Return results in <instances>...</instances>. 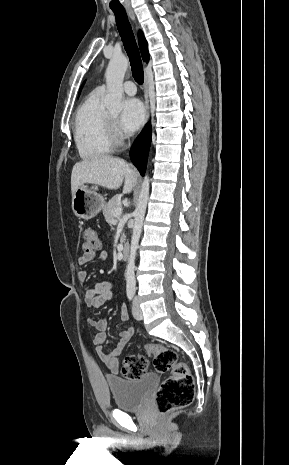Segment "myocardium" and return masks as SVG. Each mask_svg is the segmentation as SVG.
Wrapping results in <instances>:
<instances>
[{
	"instance_id": "1",
	"label": "myocardium",
	"mask_w": 289,
	"mask_h": 465,
	"mask_svg": "<svg viewBox=\"0 0 289 465\" xmlns=\"http://www.w3.org/2000/svg\"><path fill=\"white\" fill-rule=\"evenodd\" d=\"M108 129H109V137L113 145L118 143V139L114 130V118L112 116H108L107 119Z\"/></svg>"
}]
</instances>
